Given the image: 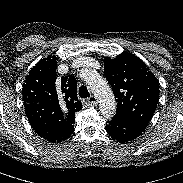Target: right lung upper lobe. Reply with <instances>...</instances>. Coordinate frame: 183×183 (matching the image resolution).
<instances>
[{"mask_svg": "<svg viewBox=\"0 0 183 183\" xmlns=\"http://www.w3.org/2000/svg\"><path fill=\"white\" fill-rule=\"evenodd\" d=\"M56 66L54 55L40 60L22 85L25 113L32 128L54 143L73 133L75 112L82 108L76 79L70 75L56 78Z\"/></svg>", "mask_w": 183, "mask_h": 183, "instance_id": "obj_1", "label": "right lung upper lobe"}]
</instances>
